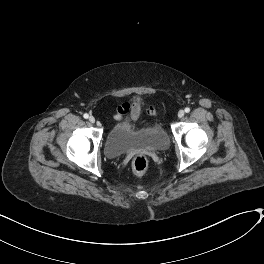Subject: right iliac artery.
Returning a JSON list of instances; mask_svg holds the SVG:
<instances>
[{"label":"right iliac artery","instance_id":"1","mask_svg":"<svg viewBox=\"0 0 264 264\" xmlns=\"http://www.w3.org/2000/svg\"><path fill=\"white\" fill-rule=\"evenodd\" d=\"M83 117H84L85 119H87V118L89 117V115H88L87 113H85V114L83 115Z\"/></svg>","mask_w":264,"mask_h":264}]
</instances>
